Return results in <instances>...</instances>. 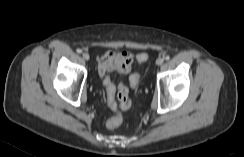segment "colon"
<instances>
[{"label": "colon", "instance_id": "5ec220e1", "mask_svg": "<svg viewBox=\"0 0 244 157\" xmlns=\"http://www.w3.org/2000/svg\"><path fill=\"white\" fill-rule=\"evenodd\" d=\"M149 58V55L147 53H140L136 57V61L138 63H143L147 61ZM110 72L106 73V76L104 78V86L107 94V99L109 105L113 109H117L119 107L127 108L130 105V99H129V93L128 88L124 83H120L117 87V99L115 98L116 93V86L113 83L111 76L109 75ZM139 74L134 73L130 76V84L133 87H136L139 83ZM122 124V116L121 115H115L111 118H109L106 122V126L109 129H115L119 127Z\"/></svg>", "mask_w": 244, "mask_h": 157}]
</instances>
